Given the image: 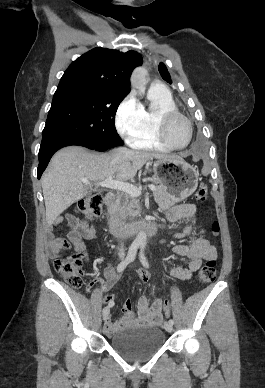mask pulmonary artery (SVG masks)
<instances>
[{
	"label": "pulmonary artery",
	"mask_w": 265,
	"mask_h": 388,
	"mask_svg": "<svg viewBox=\"0 0 265 388\" xmlns=\"http://www.w3.org/2000/svg\"><path fill=\"white\" fill-rule=\"evenodd\" d=\"M153 83H154V84H155V83H156V84H157V83L159 84L160 82H159V81H158V82H157V81H156V82L154 81ZM160 88H161L162 90H168V89L170 88V85H169L168 83H162V84L160 85Z\"/></svg>",
	"instance_id": "e3ab8cb5"
}]
</instances>
